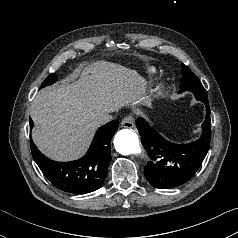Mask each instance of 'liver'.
<instances>
[{
  "instance_id": "liver-1",
  "label": "liver",
  "mask_w": 238,
  "mask_h": 238,
  "mask_svg": "<svg viewBox=\"0 0 238 238\" xmlns=\"http://www.w3.org/2000/svg\"><path fill=\"white\" fill-rule=\"evenodd\" d=\"M144 91L135 70L98 61L75 71L61 85L40 90L30 108L32 139L57 161H71L88 149L96 117L138 102Z\"/></svg>"
}]
</instances>
